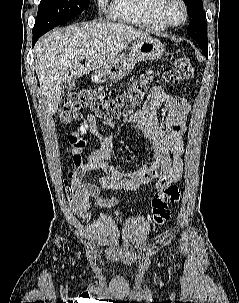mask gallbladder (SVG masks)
<instances>
[{
  "instance_id": "bac80fb5",
  "label": "gallbladder",
  "mask_w": 239,
  "mask_h": 303,
  "mask_svg": "<svg viewBox=\"0 0 239 303\" xmlns=\"http://www.w3.org/2000/svg\"><path fill=\"white\" fill-rule=\"evenodd\" d=\"M76 88V83L74 80L71 81H65L61 86L62 93H68L70 91H73Z\"/></svg>"
}]
</instances>
